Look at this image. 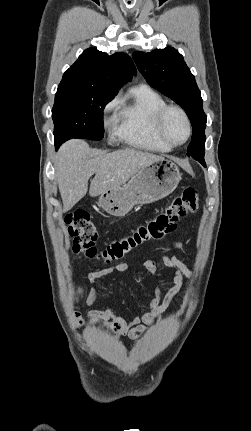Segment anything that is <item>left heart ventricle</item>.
I'll list each match as a JSON object with an SVG mask.
<instances>
[{
  "label": "left heart ventricle",
  "mask_w": 251,
  "mask_h": 431,
  "mask_svg": "<svg viewBox=\"0 0 251 431\" xmlns=\"http://www.w3.org/2000/svg\"><path fill=\"white\" fill-rule=\"evenodd\" d=\"M164 133L174 143L182 142L187 135L186 123L182 115L171 110L167 113L163 123Z\"/></svg>",
  "instance_id": "left-heart-ventricle-1"
}]
</instances>
